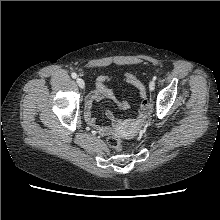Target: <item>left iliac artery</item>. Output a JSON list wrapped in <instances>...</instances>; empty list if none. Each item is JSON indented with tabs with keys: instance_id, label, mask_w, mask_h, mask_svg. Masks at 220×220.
Listing matches in <instances>:
<instances>
[{
	"instance_id": "1",
	"label": "left iliac artery",
	"mask_w": 220,
	"mask_h": 220,
	"mask_svg": "<svg viewBox=\"0 0 220 220\" xmlns=\"http://www.w3.org/2000/svg\"><path fill=\"white\" fill-rule=\"evenodd\" d=\"M156 79H157V76H154V77H153V80L155 81Z\"/></svg>"
}]
</instances>
